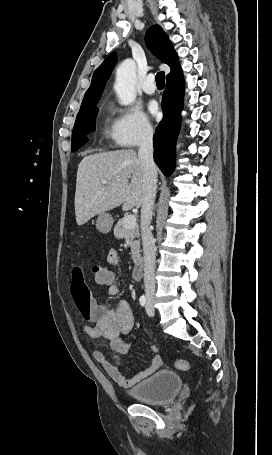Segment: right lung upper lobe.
<instances>
[{
    "label": "right lung upper lobe",
    "instance_id": "cb5924a9",
    "mask_svg": "<svg viewBox=\"0 0 272 455\" xmlns=\"http://www.w3.org/2000/svg\"><path fill=\"white\" fill-rule=\"evenodd\" d=\"M145 41L150 50L157 55V57L170 66L171 72L166 76V79L175 77L182 73L179 65V60L173 45L165 33L159 26H151L145 36ZM117 54L114 52L110 54L103 63L95 70L92 82L85 93L81 108L88 107L94 103H98L101 94L104 90L105 84L109 79L111 72L116 64ZM80 108V109H81Z\"/></svg>",
    "mask_w": 272,
    "mask_h": 455
}]
</instances>
